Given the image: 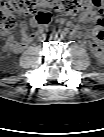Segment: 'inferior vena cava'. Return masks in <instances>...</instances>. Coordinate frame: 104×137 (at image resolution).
<instances>
[{"label":"inferior vena cava","mask_w":104,"mask_h":137,"mask_svg":"<svg viewBox=\"0 0 104 137\" xmlns=\"http://www.w3.org/2000/svg\"><path fill=\"white\" fill-rule=\"evenodd\" d=\"M49 41V36L47 34H41L39 37H38V42L41 44V45H46Z\"/></svg>","instance_id":"obj_1"}]
</instances>
